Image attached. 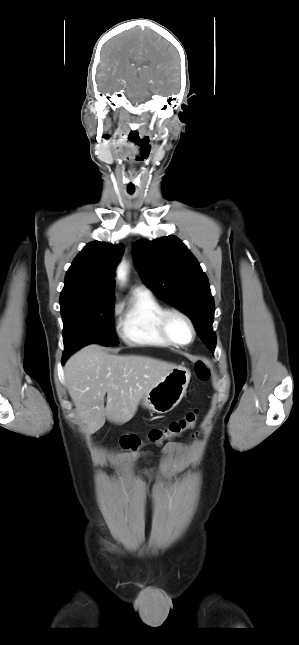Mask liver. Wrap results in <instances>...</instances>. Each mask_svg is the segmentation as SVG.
<instances>
[{"label":"liver","mask_w":299,"mask_h":645,"mask_svg":"<svg viewBox=\"0 0 299 645\" xmlns=\"http://www.w3.org/2000/svg\"><path fill=\"white\" fill-rule=\"evenodd\" d=\"M176 367L146 356L108 354L97 344L73 354L64 373L84 432L94 434L106 419L118 425L130 421L142 397Z\"/></svg>","instance_id":"obj_1"}]
</instances>
